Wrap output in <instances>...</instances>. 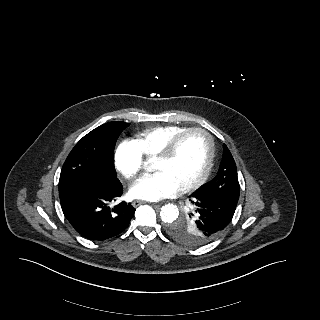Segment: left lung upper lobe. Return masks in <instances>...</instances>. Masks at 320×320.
<instances>
[{
  "mask_svg": "<svg viewBox=\"0 0 320 320\" xmlns=\"http://www.w3.org/2000/svg\"><path fill=\"white\" fill-rule=\"evenodd\" d=\"M198 190L234 203L238 202L240 186L236 164L226 145H224L223 157L216 177ZM168 233L176 241L190 246L209 242L203 235L198 211L193 203L182 219L169 224Z\"/></svg>",
  "mask_w": 320,
  "mask_h": 320,
  "instance_id": "1",
  "label": "left lung upper lobe"
}]
</instances>
